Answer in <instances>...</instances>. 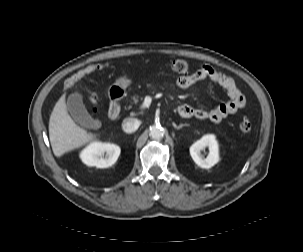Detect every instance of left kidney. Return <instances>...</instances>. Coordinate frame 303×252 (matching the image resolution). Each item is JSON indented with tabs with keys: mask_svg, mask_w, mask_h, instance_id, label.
Here are the masks:
<instances>
[{
	"mask_svg": "<svg viewBox=\"0 0 303 252\" xmlns=\"http://www.w3.org/2000/svg\"><path fill=\"white\" fill-rule=\"evenodd\" d=\"M208 147V155L205 158L201 151ZM190 155L194 162L201 168L209 169L219 161V148L215 135H204L190 147Z\"/></svg>",
	"mask_w": 303,
	"mask_h": 252,
	"instance_id": "obj_1",
	"label": "left kidney"
}]
</instances>
